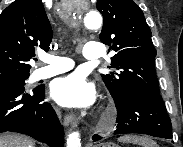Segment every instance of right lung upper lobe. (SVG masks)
Returning a JSON list of instances; mask_svg holds the SVG:
<instances>
[{
    "instance_id": "cb5924a9",
    "label": "right lung upper lobe",
    "mask_w": 183,
    "mask_h": 147,
    "mask_svg": "<svg viewBox=\"0 0 183 147\" xmlns=\"http://www.w3.org/2000/svg\"><path fill=\"white\" fill-rule=\"evenodd\" d=\"M52 28L41 0H15L0 14V82L29 76L35 49L48 51Z\"/></svg>"
}]
</instances>
